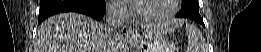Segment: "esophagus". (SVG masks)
Returning a JSON list of instances; mask_svg holds the SVG:
<instances>
[{
  "mask_svg": "<svg viewBox=\"0 0 261 52\" xmlns=\"http://www.w3.org/2000/svg\"><path fill=\"white\" fill-rule=\"evenodd\" d=\"M121 32H122V34L125 35V36H131V35L133 34V30H132V28L129 27V26H124V27H122Z\"/></svg>",
  "mask_w": 261,
  "mask_h": 52,
  "instance_id": "34e87169",
  "label": "esophagus"
}]
</instances>
